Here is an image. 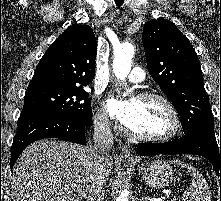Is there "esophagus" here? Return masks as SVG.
<instances>
[{
  "mask_svg": "<svg viewBox=\"0 0 221 201\" xmlns=\"http://www.w3.org/2000/svg\"><path fill=\"white\" fill-rule=\"evenodd\" d=\"M120 159L124 162H135V157L132 155L128 145H123L120 153Z\"/></svg>",
  "mask_w": 221,
  "mask_h": 201,
  "instance_id": "34e87169",
  "label": "esophagus"
}]
</instances>
